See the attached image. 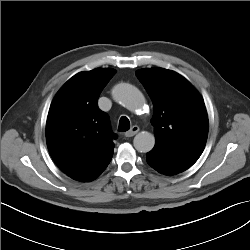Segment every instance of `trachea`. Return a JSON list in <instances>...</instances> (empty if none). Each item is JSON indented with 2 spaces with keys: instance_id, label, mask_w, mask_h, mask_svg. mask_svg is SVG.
I'll return each mask as SVG.
<instances>
[{
  "instance_id": "3493384b",
  "label": "trachea",
  "mask_w": 250,
  "mask_h": 250,
  "mask_svg": "<svg viewBox=\"0 0 250 250\" xmlns=\"http://www.w3.org/2000/svg\"><path fill=\"white\" fill-rule=\"evenodd\" d=\"M130 129V121L127 117L122 116L119 121V127L118 130L120 132H125Z\"/></svg>"
}]
</instances>
